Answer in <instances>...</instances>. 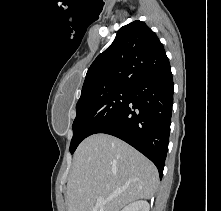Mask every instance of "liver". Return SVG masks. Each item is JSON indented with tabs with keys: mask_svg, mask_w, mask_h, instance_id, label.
<instances>
[{
	"mask_svg": "<svg viewBox=\"0 0 221 211\" xmlns=\"http://www.w3.org/2000/svg\"><path fill=\"white\" fill-rule=\"evenodd\" d=\"M158 186V170L150 160L116 137L94 134L74 154L68 211H120L131 202L150 199ZM111 196L97 205L98 197Z\"/></svg>",
	"mask_w": 221,
	"mask_h": 211,
	"instance_id": "liver-1",
	"label": "liver"
}]
</instances>
